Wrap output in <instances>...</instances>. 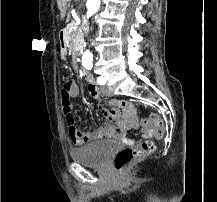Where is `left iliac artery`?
Returning <instances> with one entry per match:
<instances>
[{
	"label": "left iliac artery",
	"instance_id": "44dca946",
	"mask_svg": "<svg viewBox=\"0 0 217 202\" xmlns=\"http://www.w3.org/2000/svg\"><path fill=\"white\" fill-rule=\"evenodd\" d=\"M97 83L100 85H104L106 83V80L102 77H98L97 78Z\"/></svg>",
	"mask_w": 217,
	"mask_h": 202
}]
</instances>
